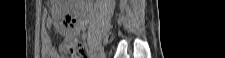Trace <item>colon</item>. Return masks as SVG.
<instances>
[{
    "mask_svg": "<svg viewBox=\"0 0 225 58\" xmlns=\"http://www.w3.org/2000/svg\"><path fill=\"white\" fill-rule=\"evenodd\" d=\"M63 54L66 58H82L84 56V49L83 46L77 42L67 47Z\"/></svg>",
    "mask_w": 225,
    "mask_h": 58,
    "instance_id": "obj_1",
    "label": "colon"
}]
</instances>
